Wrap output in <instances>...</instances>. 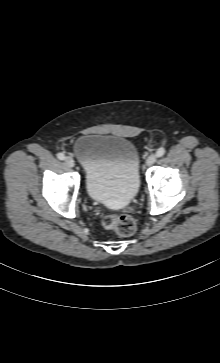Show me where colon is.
<instances>
[{
  "instance_id": "1",
  "label": "colon",
  "mask_w": 220,
  "mask_h": 363,
  "mask_svg": "<svg viewBox=\"0 0 220 363\" xmlns=\"http://www.w3.org/2000/svg\"><path fill=\"white\" fill-rule=\"evenodd\" d=\"M102 225L108 230H112L120 236H131L136 231L135 220L126 214L111 213L104 216Z\"/></svg>"
}]
</instances>
